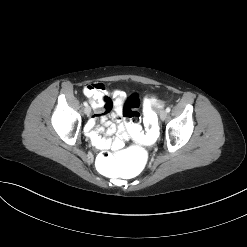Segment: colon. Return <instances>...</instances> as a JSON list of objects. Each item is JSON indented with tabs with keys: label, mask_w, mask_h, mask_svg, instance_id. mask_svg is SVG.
Here are the masks:
<instances>
[{
	"label": "colon",
	"mask_w": 247,
	"mask_h": 247,
	"mask_svg": "<svg viewBox=\"0 0 247 247\" xmlns=\"http://www.w3.org/2000/svg\"><path fill=\"white\" fill-rule=\"evenodd\" d=\"M140 101L136 95L130 96L123 107L125 118L124 126L132 140L138 144H132L120 154L112 151H103L94 159V168L101 175L116 178H129L137 176L149 162V152L145 145L154 146L160 141L161 128L153 107L156 100L148 98L142 102V118L147 124L148 134L141 129V116L138 111ZM144 145V146H142Z\"/></svg>",
	"instance_id": "5ec220e1"
}]
</instances>
